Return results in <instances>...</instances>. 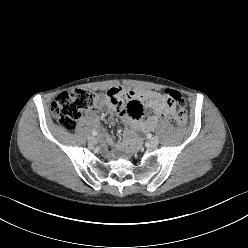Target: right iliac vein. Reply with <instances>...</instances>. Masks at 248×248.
<instances>
[{"instance_id": "right-iliac-vein-1", "label": "right iliac vein", "mask_w": 248, "mask_h": 248, "mask_svg": "<svg viewBox=\"0 0 248 248\" xmlns=\"http://www.w3.org/2000/svg\"><path fill=\"white\" fill-rule=\"evenodd\" d=\"M88 142H89L90 144H96L97 139H96L95 137H93V136H90V137L88 138Z\"/></svg>"}]
</instances>
